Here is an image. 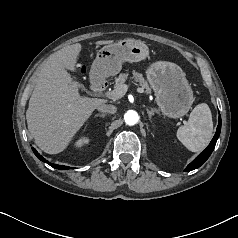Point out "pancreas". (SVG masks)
I'll return each instance as SVG.
<instances>
[{
    "instance_id": "cf45deb5",
    "label": "pancreas",
    "mask_w": 238,
    "mask_h": 238,
    "mask_svg": "<svg viewBox=\"0 0 238 238\" xmlns=\"http://www.w3.org/2000/svg\"><path fill=\"white\" fill-rule=\"evenodd\" d=\"M127 77H128V74H125V73L124 74H120L115 79L114 90L120 89L125 84V81L127 80ZM133 78L142 87V89L145 90L146 93H151V89H150L147 81L144 79L142 74L134 72L133 73Z\"/></svg>"
}]
</instances>
